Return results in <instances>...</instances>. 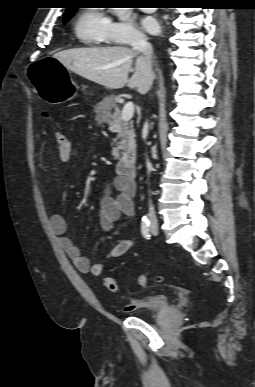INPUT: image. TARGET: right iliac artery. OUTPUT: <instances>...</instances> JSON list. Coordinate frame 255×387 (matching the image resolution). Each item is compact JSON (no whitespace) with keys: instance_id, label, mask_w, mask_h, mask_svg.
Segmentation results:
<instances>
[{"instance_id":"82829eb1","label":"right iliac artery","mask_w":255,"mask_h":387,"mask_svg":"<svg viewBox=\"0 0 255 387\" xmlns=\"http://www.w3.org/2000/svg\"><path fill=\"white\" fill-rule=\"evenodd\" d=\"M141 232L144 238L150 239V221L146 218L142 220Z\"/></svg>"}]
</instances>
